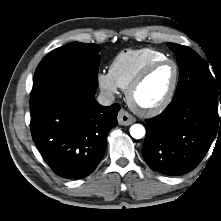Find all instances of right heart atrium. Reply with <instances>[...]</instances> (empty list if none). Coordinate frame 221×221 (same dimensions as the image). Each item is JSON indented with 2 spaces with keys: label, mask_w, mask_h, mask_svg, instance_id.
Segmentation results:
<instances>
[{
  "label": "right heart atrium",
  "mask_w": 221,
  "mask_h": 221,
  "mask_svg": "<svg viewBox=\"0 0 221 221\" xmlns=\"http://www.w3.org/2000/svg\"><path fill=\"white\" fill-rule=\"evenodd\" d=\"M97 83L102 91L110 95L116 94L118 91V85L109 72L100 71L97 74Z\"/></svg>",
  "instance_id": "1"
}]
</instances>
